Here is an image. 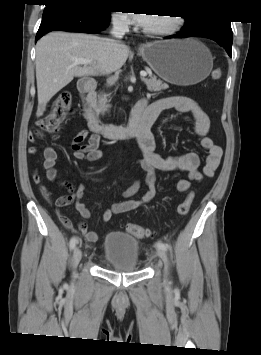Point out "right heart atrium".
Masks as SVG:
<instances>
[{"mask_svg":"<svg viewBox=\"0 0 261 355\" xmlns=\"http://www.w3.org/2000/svg\"><path fill=\"white\" fill-rule=\"evenodd\" d=\"M112 22L116 27H127V19L123 13H115L112 15Z\"/></svg>","mask_w":261,"mask_h":355,"instance_id":"d8ad5b80","label":"right heart atrium"}]
</instances>
